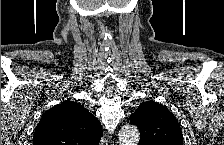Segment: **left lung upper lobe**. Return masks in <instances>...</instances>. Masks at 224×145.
Segmentation results:
<instances>
[{"mask_svg": "<svg viewBox=\"0 0 224 145\" xmlns=\"http://www.w3.org/2000/svg\"><path fill=\"white\" fill-rule=\"evenodd\" d=\"M140 131L139 145H183L181 128L174 115L163 105L147 101L130 117Z\"/></svg>", "mask_w": 224, "mask_h": 145, "instance_id": "obj_1", "label": "left lung upper lobe"}]
</instances>
